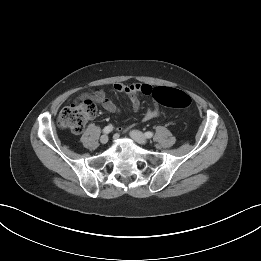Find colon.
Instances as JSON below:
<instances>
[{
    "label": "colon",
    "instance_id": "obj_1",
    "mask_svg": "<svg viewBox=\"0 0 261 261\" xmlns=\"http://www.w3.org/2000/svg\"><path fill=\"white\" fill-rule=\"evenodd\" d=\"M100 95V93L96 92L93 99L84 100L63 108L57 118L58 126L73 133L82 132L85 124L96 115L95 101ZM152 97L157 103L171 108L184 109L191 104L189 95L174 88H155L152 91Z\"/></svg>",
    "mask_w": 261,
    "mask_h": 261
}]
</instances>
